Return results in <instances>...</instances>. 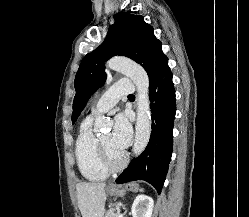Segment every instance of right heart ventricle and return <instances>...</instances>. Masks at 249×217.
I'll use <instances>...</instances> for the list:
<instances>
[{
    "mask_svg": "<svg viewBox=\"0 0 249 217\" xmlns=\"http://www.w3.org/2000/svg\"><path fill=\"white\" fill-rule=\"evenodd\" d=\"M75 156L78 168L89 181H103L109 171L102 163L98 148V138L92 131V116H87L80 124L76 142Z\"/></svg>",
    "mask_w": 249,
    "mask_h": 217,
    "instance_id": "e07e8e85",
    "label": "right heart ventricle"
}]
</instances>
